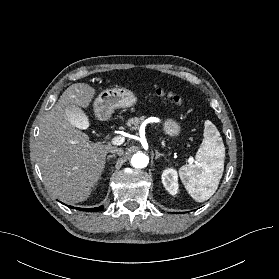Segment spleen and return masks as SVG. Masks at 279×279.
<instances>
[{
  "label": "spleen",
  "mask_w": 279,
  "mask_h": 279,
  "mask_svg": "<svg viewBox=\"0 0 279 279\" xmlns=\"http://www.w3.org/2000/svg\"><path fill=\"white\" fill-rule=\"evenodd\" d=\"M225 148L220 133L211 121H205L204 139L195 162L179 170L187 192L197 202L208 200L217 190L224 171Z\"/></svg>",
  "instance_id": "obj_1"
}]
</instances>
